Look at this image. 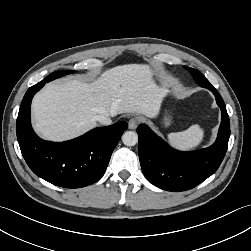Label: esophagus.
<instances>
[{
  "label": "esophagus",
  "instance_id": "esophagus-1",
  "mask_svg": "<svg viewBox=\"0 0 251 251\" xmlns=\"http://www.w3.org/2000/svg\"><path fill=\"white\" fill-rule=\"evenodd\" d=\"M139 124V118L138 117H132L129 122H128V125H129V129H136L137 126Z\"/></svg>",
  "mask_w": 251,
  "mask_h": 251
}]
</instances>
